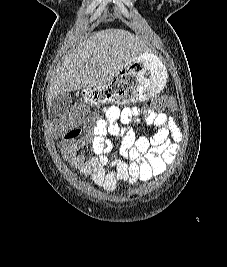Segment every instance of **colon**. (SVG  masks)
Wrapping results in <instances>:
<instances>
[{"label":"colon","instance_id":"1","mask_svg":"<svg viewBox=\"0 0 227 267\" xmlns=\"http://www.w3.org/2000/svg\"><path fill=\"white\" fill-rule=\"evenodd\" d=\"M175 107L176 102L172 97H158L154 99L153 105L147 106V109H151V112L156 110V113H164V109H174ZM86 119H96V114H89L85 104L76 103L53 121L52 134L62 136L67 130L81 125Z\"/></svg>","mask_w":227,"mask_h":267}]
</instances>
